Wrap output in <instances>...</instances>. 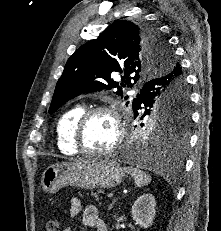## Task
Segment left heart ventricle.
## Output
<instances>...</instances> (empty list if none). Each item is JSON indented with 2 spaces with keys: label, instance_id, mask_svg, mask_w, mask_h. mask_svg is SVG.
<instances>
[{
  "label": "left heart ventricle",
  "instance_id": "1",
  "mask_svg": "<svg viewBox=\"0 0 221 231\" xmlns=\"http://www.w3.org/2000/svg\"><path fill=\"white\" fill-rule=\"evenodd\" d=\"M116 139V128L112 118L105 113L92 116L83 132L84 146L91 151L109 148Z\"/></svg>",
  "mask_w": 221,
  "mask_h": 231
}]
</instances>
